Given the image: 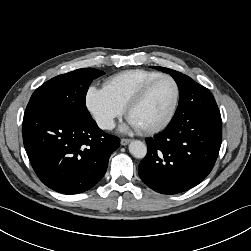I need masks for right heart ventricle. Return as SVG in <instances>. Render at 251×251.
Returning <instances> with one entry per match:
<instances>
[{"label":"right heart ventricle","instance_id":"e07e8e85","mask_svg":"<svg viewBox=\"0 0 251 251\" xmlns=\"http://www.w3.org/2000/svg\"><path fill=\"white\" fill-rule=\"evenodd\" d=\"M160 74V72L146 69L125 70L107 78L103 88L125 108L133 95L146 82Z\"/></svg>","mask_w":251,"mask_h":251}]
</instances>
